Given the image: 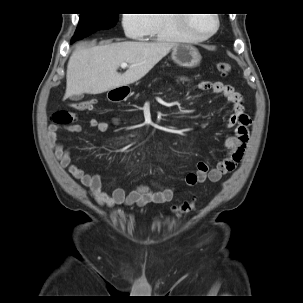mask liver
Instances as JSON below:
<instances>
[{
    "label": "liver",
    "instance_id": "6515ba94",
    "mask_svg": "<svg viewBox=\"0 0 303 303\" xmlns=\"http://www.w3.org/2000/svg\"><path fill=\"white\" fill-rule=\"evenodd\" d=\"M175 45L125 41L95 47L78 46L68 62L64 98L84 93L100 94L132 84L144 77ZM121 63L128 64L123 74L117 72Z\"/></svg>",
    "mask_w": 303,
    "mask_h": 303
}]
</instances>
